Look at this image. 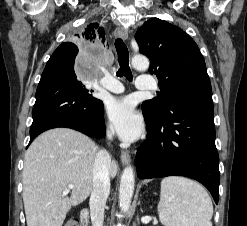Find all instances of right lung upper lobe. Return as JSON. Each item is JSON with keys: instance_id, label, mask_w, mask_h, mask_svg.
Here are the masks:
<instances>
[{"instance_id": "right-lung-upper-lobe-1", "label": "right lung upper lobe", "mask_w": 247, "mask_h": 226, "mask_svg": "<svg viewBox=\"0 0 247 226\" xmlns=\"http://www.w3.org/2000/svg\"><path fill=\"white\" fill-rule=\"evenodd\" d=\"M77 37L88 45L104 44L106 39L104 28L97 22L87 25ZM54 53H63L69 57L75 58L78 53V48L73 43L65 42L62 43Z\"/></svg>"}]
</instances>
